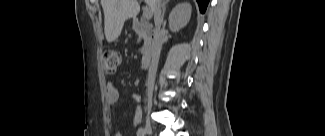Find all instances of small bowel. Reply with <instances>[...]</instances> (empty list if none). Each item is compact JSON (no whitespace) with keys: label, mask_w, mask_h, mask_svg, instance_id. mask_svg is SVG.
Listing matches in <instances>:
<instances>
[{"label":"small bowel","mask_w":325,"mask_h":136,"mask_svg":"<svg viewBox=\"0 0 325 136\" xmlns=\"http://www.w3.org/2000/svg\"><path fill=\"white\" fill-rule=\"evenodd\" d=\"M118 99H119L118 89L112 83H109L106 89V102L111 105V104H115L118 101ZM132 99L136 103L141 102V96L139 94H133ZM142 116L143 113L141 108L139 106H135L133 110V124L138 125L142 120ZM116 136H121V134L117 133Z\"/></svg>","instance_id":"obj_1"}]
</instances>
